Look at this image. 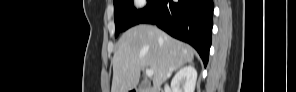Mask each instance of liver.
<instances>
[{"mask_svg":"<svg viewBox=\"0 0 296 92\" xmlns=\"http://www.w3.org/2000/svg\"><path fill=\"white\" fill-rule=\"evenodd\" d=\"M195 50L159 28L137 25L122 34L113 56L111 92H129L140 79L145 67L154 71L153 86L160 89L174 70L194 59Z\"/></svg>","mask_w":296,"mask_h":92,"instance_id":"obj_1","label":"liver"}]
</instances>
